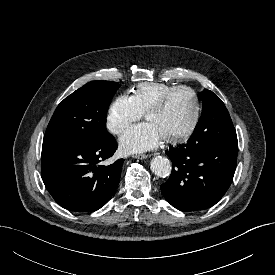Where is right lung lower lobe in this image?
I'll list each match as a JSON object with an SVG mask.
<instances>
[{
    "instance_id": "98d812e1",
    "label": "right lung lower lobe",
    "mask_w": 275,
    "mask_h": 275,
    "mask_svg": "<svg viewBox=\"0 0 275 275\" xmlns=\"http://www.w3.org/2000/svg\"><path fill=\"white\" fill-rule=\"evenodd\" d=\"M117 149L110 135L98 143H43L42 180L63 208L94 212L105 205L118 186L124 159L105 166L100 162Z\"/></svg>"
}]
</instances>
